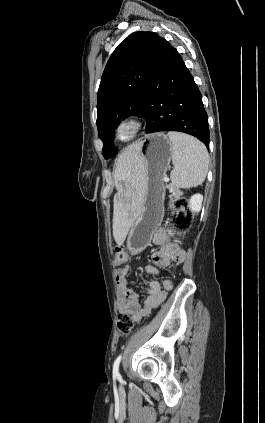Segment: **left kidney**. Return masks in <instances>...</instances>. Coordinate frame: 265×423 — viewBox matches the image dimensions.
Here are the masks:
<instances>
[{
	"mask_svg": "<svg viewBox=\"0 0 265 423\" xmlns=\"http://www.w3.org/2000/svg\"><path fill=\"white\" fill-rule=\"evenodd\" d=\"M203 196L201 194H194L188 201V207L191 212H199L201 210Z\"/></svg>",
	"mask_w": 265,
	"mask_h": 423,
	"instance_id": "1",
	"label": "left kidney"
}]
</instances>
